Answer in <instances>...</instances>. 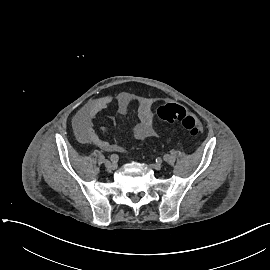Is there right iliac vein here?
<instances>
[{
  "label": "right iliac vein",
  "instance_id": "63e3f726",
  "mask_svg": "<svg viewBox=\"0 0 270 270\" xmlns=\"http://www.w3.org/2000/svg\"><path fill=\"white\" fill-rule=\"evenodd\" d=\"M104 164H105L106 169L110 172L113 171L114 169H116V167H117L116 163L111 162L109 160H105Z\"/></svg>",
  "mask_w": 270,
  "mask_h": 270
}]
</instances>
